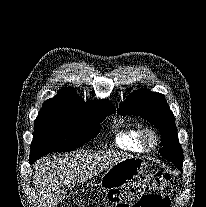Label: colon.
Listing matches in <instances>:
<instances>
[{
  "label": "colon",
  "instance_id": "5ec220e1",
  "mask_svg": "<svg viewBox=\"0 0 206 207\" xmlns=\"http://www.w3.org/2000/svg\"><path fill=\"white\" fill-rule=\"evenodd\" d=\"M171 192L169 174L158 170L137 178L126 190L110 192L108 200L114 207H169Z\"/></svg>",
  "mask_w": 206,
  "mask_h": 207
}]
</instances>
